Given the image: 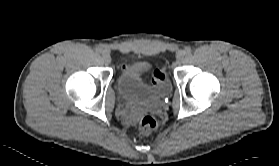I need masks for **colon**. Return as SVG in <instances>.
I'll return each instance as SVG.
<instances>
[{"label":"colon","mask_w":279,"mask_h":166,"mask_svg":"<svg viewBox=\"0 0 279 166\" xmlns=\"http://www.w3.org/2000/svg\"><path fill=\"white\" fill-rule=\"evenodd\" d=\"M165 77L164 72L162 70H157L153 77L151 78L150 82L153 85H157L162 79ZM157 127V120L151 116V115H146L141 120L139 121L138 124V130L142 134H148L152 131H154Z\"/></svg>","instance_id":"colon-1"}]
</instances>
